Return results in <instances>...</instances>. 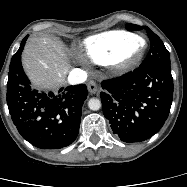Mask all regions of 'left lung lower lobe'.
Instances as JSON below:
<instances>
[{
  "label": "left lung lower lobe",
  "instance_id": "left-lung-lower-lobe-1",
  "mask_svg": "<svg viewBox=\"0 0 187 187\" xmlns=\"http://www.w3.org/2000/svg\"><path fill=\"white\" fill-rule=\"evenodd\" d=\"M104 116L124 142L151 138L165 123L173 100L170 65L140 66L102 82Z\"/></svg>",
  "mask_w": 187,
  "mask_h": 187
}]
</instances>
